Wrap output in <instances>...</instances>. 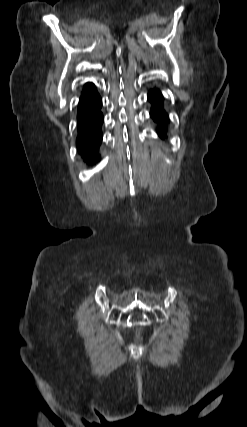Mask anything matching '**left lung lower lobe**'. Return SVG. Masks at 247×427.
Wrapping results in <instances>:
<instances>
[{
    "label": "left lung lower lobe",
    "mask_w": 247,
    "mask_h": 427,
    "mask_svg": "<svg viewBox=\"0 0 247 427\" xmlns=\"http://www.w3.org/2000/svg\"><path fill=\"white\" fill-rule=\"evenodd\" d=\"M148 100L153 104L150 115L155 122L160 123V128L157 129L158 135L165 139L167 137L166 123L168 122V115L163 110V96L158 89L150 90L148 93Z\"/></svg>",
    "instance_id": "0a47b994"
}]
</instances>
